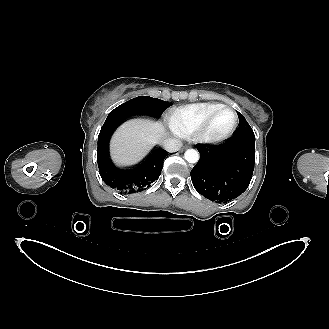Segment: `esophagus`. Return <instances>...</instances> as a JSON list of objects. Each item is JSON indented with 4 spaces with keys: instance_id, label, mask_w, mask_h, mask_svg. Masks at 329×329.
Masks as SVG:
<instances>
[{
    "instance_id": "esophagus-1",
    "label": "esophagus",
    "mask_w": 329,
    "mask_h": 329,
    "mask_svg": "<svg viewBox=\"0 0 329 329\" xmlns=\"http://www.w3.org/2000/svg\"><path fill=\"white\" fill-rule=\"evenodd\" d=\"M185 149H187V146H184V147L182 148V150H185Z\"/></svg>"
}]
</instances>
